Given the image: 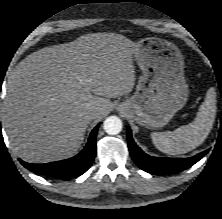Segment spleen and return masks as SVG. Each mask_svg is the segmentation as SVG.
I'll return each instance as SVG.
<instances>
[{
    "label": "spleen",
    "mask_w": 222,
    "mask_h": 219,
    "mask_svg": "<svg viewBox=\"0 0 222 219\" xmlns=\"http://www.w3.org/2000/svg\"><path fill=\"white\" fill-rule=\"evenodd\" d=\"M216 116V93L214 88L207 91L204 102L193 122L172 132H153V144L169 155L187 153L203 143L209 135Z\"/></svg>",
    "instance_id": "3e777b00"
}]
</instances>
